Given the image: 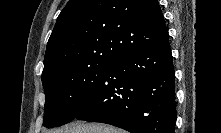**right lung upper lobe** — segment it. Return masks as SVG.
Returning <instances> with one entry per match:
<instances>
[{"label": "right lung upper lobe", "mask_w": 221, "mask_h": 133, "mask_svg": "<svg viewBox=\"0 0 221 133\" xmlns=\"http://www.w3.org/2000/svg\"><path fill=\"white\" fill-rule=\"evenodd\" d=\"M167 39L157 0H69L48 40L42 76L64 66L109 64Z\"/></svg>", "instance_id": "right-lung-upper-lobe-1"}]
</instances>
